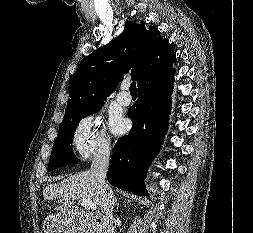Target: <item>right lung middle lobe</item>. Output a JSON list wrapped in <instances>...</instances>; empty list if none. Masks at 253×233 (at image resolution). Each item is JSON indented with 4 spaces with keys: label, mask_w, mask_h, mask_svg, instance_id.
Segmentation results:
<instances>
[{
    "label": "right lung middle lobe",
    "mask_w": 253,
    "mask_h": 233,
    "mask_svg": "<svg viewBox=\"0 0 253 233\" xmlns=\"http://www.w3.org/2000/svg\"><path fill=\"white\" fill-rule=\"evenodd\" d=\"M103 104L104 103L97 104L71 117L63 119L59 127L57 138L53 144L48 166L49 171L79 162V159L75 157L72 151L71 145L76 127L82 118L99 111Z\"/></svg>",
    "instance_id": "right-lung-middle-lobe-1"
}]
</instances>
